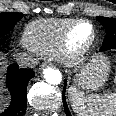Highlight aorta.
<instances>
[{"mask_svg": "<svg viewBox=\"0 0 116 116\" xmlns=\"http://www.w3.org/2000/svg\"><path fill=\"white\" fill-rule=\"evenodd\" d=\"M43 76L47 83L57 85L62 81V75L59 70L53 68H46L43 70Z\"/></svg>", "mask_w": 116, "mask_h": 116, "instance_id": "aorta-1", "label": "aorta"}]
</instances>
